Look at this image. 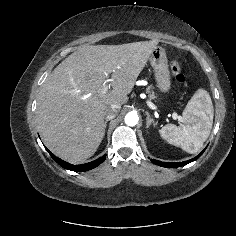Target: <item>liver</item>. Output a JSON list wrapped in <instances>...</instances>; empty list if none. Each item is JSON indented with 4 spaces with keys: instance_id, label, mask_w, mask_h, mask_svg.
<instances>
[{
    "instance_id": "6515ba94",
    "label": "liver",
    "mask_w": 236,
    "mask_h": 236,
    "mask_svg": "<svg viewBox=\"0 0 236 236\" xmlns=\"http://www.w3.org/2000/svg\"><path fill=\"white\" fill-rule=\"evenodd\" d=\"M157 40L121 45H84L65 58L41 89L36 121L46 147L56 156L81 163L103 139L104 111L127 103ZM112 90L101 93L105 82Z\"/></svg>"
}]
</instances>
